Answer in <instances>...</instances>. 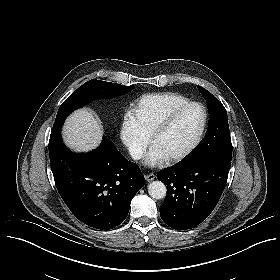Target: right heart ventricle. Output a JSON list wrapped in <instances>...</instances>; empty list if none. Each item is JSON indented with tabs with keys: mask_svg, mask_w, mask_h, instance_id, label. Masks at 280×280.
Listing matches in <instances>:
<instances>
[{
	"mask_svg": "<svg viewBox=\"0 0 280 280\" xmlns=\"http://www.w3.org/2000/svg\"><path fill=\"white\" fill-rule=\"evenodd\" d=\"M185 99L186 98L184 96L178 94L163 95V96L149 95L145 97L144 101L147 102V104L149 103L165 110V109L180 107V105L183 104ZM159 122H161V120L159 119H150V121L146 120L145 126L143 127L144 132L147 134L150 133Z\"/></svg>",
	"mask_w": 280,
	"mask_h": 280,
	"instance_id": "obj_1",
	"label": "right heart ventricle"
}]
</instances>
